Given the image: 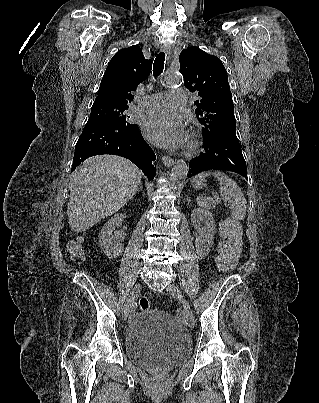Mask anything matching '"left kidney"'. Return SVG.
<instances>
[{
  "label": "left kidney",
  "mask_w": 319,
  "mask_h": 403,
  "mask_svg": "<svg viewBox=\"0 0 319 403\" xmlns=\"http://www.w3.org/2000/svg\"><path fill=\"white\" fill-rule=\"evenodd\" d=\"M191 221L197 229L195 241L197 254L204 257L210 252L214 241L216 224L213 215L208 210L196 208L191 213Z\"/></svg>",
  "instance_id": "5707ae66"
}]
</instances>
